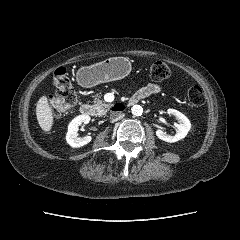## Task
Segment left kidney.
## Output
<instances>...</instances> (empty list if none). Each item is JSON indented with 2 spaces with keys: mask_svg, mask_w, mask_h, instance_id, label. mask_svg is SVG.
I'll use <instances>...</instances> for the list:
<instances>
[{
  "mask_svg": "<svg viewBox=\"0 0 240 240\" xmlns=\"http://www.w3.org/2000/svg\"><path fill=\"white\" fill-rule=\"evenodd\" d=\"M167 113L169 115H174L176 117V119L178 120V123L174 124V126L177 129L176 134L168 135V134H166V132L158 129L156 131V135L159 139H161L165 142H169V143L177 142V141L183 139L184 137H186V135L188 134V132L191 129V123L184 114H182L181 112H179L175 109H168Z\"/></svg>",
  "mask_w": 240,
  "mask_h": 240,
  "instance_id": "obj_1",
  "label": "left kidney"
}]
</instances>
